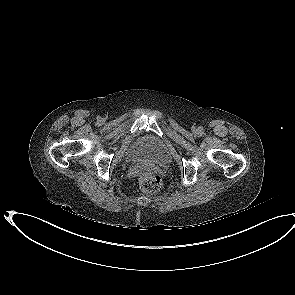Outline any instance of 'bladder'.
<instances>
[{
  "mask_svg": "<svg viewBox=\"0 0 295 295\" xmlns=\"http://www.w3.org/2000/svg\"><path fill=\"white\" fill-rule=\"evenodd\" d=\"M126 157L131 161L145 160L155 164H168L171 156L166 144L159 138L143 135L128 147Z\"/></svg>",
  "mask_w": 295,
  "mask_h": 295,
  "instance_id": "31cf9c89",
  "label": "bladder"
}]
</instances>
